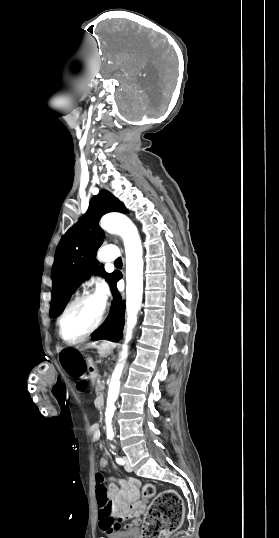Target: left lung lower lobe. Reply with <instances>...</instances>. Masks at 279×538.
Listing matches in <instances>:
<instances>
[{
  "label": "left lung lower lobe",
  "mask_w": 279,
  "mask_h": 538,
  "mask_svg": "<svg viewBox=\"0 0 279 538\" xmlns=\"http://www.w3.org/2000/svg\"><path fill=\"white\" fill-rule=\"evenodd\" d=\"M119 278H117L118 280ZM116 280V282H117ZM114 295L113 308L104 324L92 334L93 340L122 337L124 326L125 305L116 289V283L112 288Z\"/></svg>",
  "instance_id": "obj_1"
}]
</instances>
